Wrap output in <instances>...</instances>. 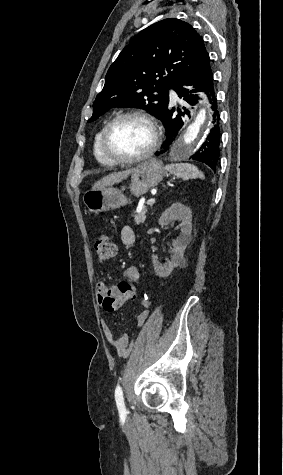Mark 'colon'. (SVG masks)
Segmentation results:
<instances>
[{
  "instance_id": "5ec220e1",
  "label": "colon",
  "mask_w": 283,
  "mask_h": 475,
  "mask_svg": "<svg viewBox=\"0 0 283 475\" xmlns=\"http://www.w3.org/2000/svg\"><path fill=\"white\" fill-rule=\"evenodd\" d=\"M95 258L98 263H104L114 256L117 252L116 244L110 235L100 234L94 242ZM117 292L122 295H117L115 298L105 297L103 305L108 313H115L116 309H121L123 304L128 300H132L136 293L134 285H128L125 280L118 282Z\"/></svg>"
}]
</instances>
